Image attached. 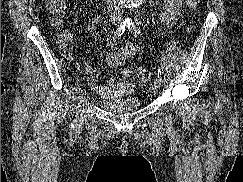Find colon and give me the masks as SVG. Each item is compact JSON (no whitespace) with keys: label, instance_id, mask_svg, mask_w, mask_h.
<instances>
[{"label":"colon","instance_id":"5ec220e1","mask_svg":"<svg viewBox=\"0 0 243 182\" xmlns=\"http://www.w3.org/2000/svg\"><path fill=\"white\" fill-rule=\"evenodd\" d=\"M200 3V0H186L187 7L190 11H194ZM47 9L51 16L52 25L56 28H61L63 25V17L66 8V0H46ZM57 42L59 44L61 53L65 57L72 54V41L68 34L59 33L57 35ZM135 76L138 80L145 82L149 78V72L144 67L135 69Z\"/></svg>","mask_w":243,"mask_h":182}]
</instances>
